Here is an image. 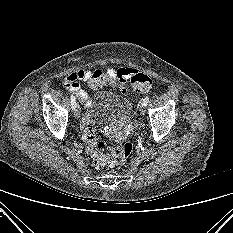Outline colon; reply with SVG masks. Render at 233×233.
Listing matches in <instances>:
<instances>
[{
	"label": "colon",
	"instance_id": "1",
	"mask_svg": "<svg viewBox=\"0 0 233 233\" xmlns=\"http://www.w3.org/2000/svg\"><path fill=\"white\" fill-rule=\"evenodd\" d=\"M87 84L94 90L100 89L104 85L109 84L118 87L123 92H126L124 83L115 76L108 75L100 70L92 72ZM131 85L139 92H147L151 89L152 80L148 75L142 72H136L131 77ZM83 140L86 152L93 164L96 166H116L124 164L133 150L130 143H124L106 151L104 144L97 140L93 128L89 125L84 127Z\"/></svg>",
	"mask_w": 233,
	"mask_h": 233
}]
</instances>
